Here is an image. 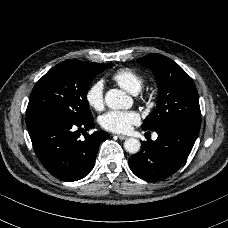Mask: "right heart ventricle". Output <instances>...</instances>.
<instances>
[{
    "label": "right heart ventricle",
    "instance_id": "right-heart-ventricle-1",
    "mask_svg": "<svg viewBox=\"0 0 228 228\" xmlns=\"http://www.w3.org/2000/svg\"><path fill=\"white\" fill-rule=\"evenodd\" d=\"M111 78L120 87L131 94L139 93L145 84L144 77L132 68H121L115 71Z\"/></svg>",
    "mask_w": 228,
    "mask_h": 228
}]
</instances>
